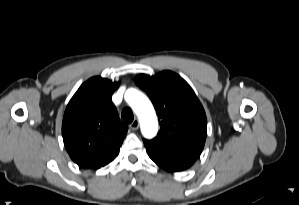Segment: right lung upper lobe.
<instances>
[{"label": "right lung upper lobe", "instance_id": "cb5924a9", "mask_svg": "<svg viewBox=\"0 0 299 205\" xmlns=\"http://www.w3.org/2000/svg\"><path fill=\"white\" fill-rule=\"evenodd\" d=\"M120 82L92 77L74 94L65 110L62 136L71 159L98 169L116 158L127 133L111 96Z\"/></svg>", "mask_w": 299, "mask_h": 205}]
</instances>
